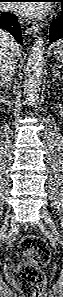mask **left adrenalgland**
I'll list each match as a JSON object with an SVG mask.
<instances>
[{"instance_id": "a2214340", "label": "left adrenal gland", "mask_w": 63, "mask_h": 297, "mask_svg": "<svg viewBox=\"0 0 63 297\" xmlns=\"http://www.w3.org/2000/svg\"><path fill=\"white\" fill-rule=\"evenodd\" d=\"M56 77L60 78L61 77V73L58 70V68L53 67V80H55Z\"/></svg>"}]
</instances>
